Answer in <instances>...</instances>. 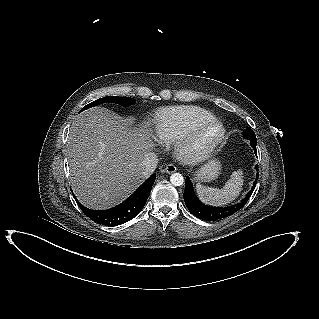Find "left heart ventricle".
I'll return each mask as SVG.
<instances>
[{
    "mask_svg": "<svg viewBox=\"0 0 319 319\" xmlns=\"http://www.w3.org/2000/svg\"><path fill=\"white\" fill-rule=\"evenodd\" d=\"M213 133H214V131H210L209 135H212ZM209 135H208V136H209Z\"/></svg>",
    "mask_w": 319,
    "mask_h": 319,
    "instance_id": "left-heart-ventricle-1",
    "label": "left heart ventricle"
}]
</instances>
